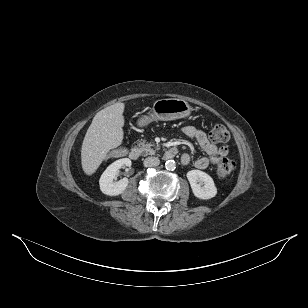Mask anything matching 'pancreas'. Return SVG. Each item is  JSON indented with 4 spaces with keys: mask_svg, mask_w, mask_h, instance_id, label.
<instances>
[{
    "mask_svg": "<svg viewBox=\"0 0 308 308\" xmlns=\"http://www.w3.org/2000/svg\"><path fill=\"white\" fill-rule=\"evenodd\" d=\"M153 146L155 148H152ZM139 147L142 150L144 156L154 155L156 151L160 149L159 145H155L153 143H145L144 141H139Z\"/></svg>",
    "mask_w": 308,
    "mask_h": 308,
    "instance_id": "cf45deb5",
    "label": "pancreas"
}]
</instances>
